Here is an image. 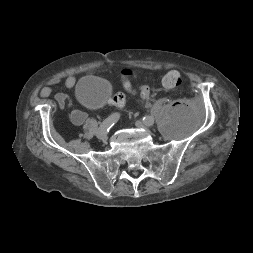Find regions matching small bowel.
Wrapping results in <instances>:
<instances>
[{
	"mask_svg": "<svg viewBox=\"0 0 253 253\" xmlns=\"http://www.w3.org/2000/svg\"><path fill=\"white\" fill-rule=\"evenodd\" d=\"M62 81L61 78L55 77L52 78L47 85L41 90L40 95L42 97H48L51 92L52 88L59 84ZM76 78L73 75L67 76L64 80L63 83L66 87L71 88L75 85ZM55 100L60 108H63L66 103V96L63 93H58L55 96ZM87 118V113L81 110H74L71 113V120L75 125H82Z\"/></svg>",
	"mask_w": 253,
	"mask_h": 253,
	"instance_id": "c3829d8e",
	"label": "small bowel"
}]
</instances>
